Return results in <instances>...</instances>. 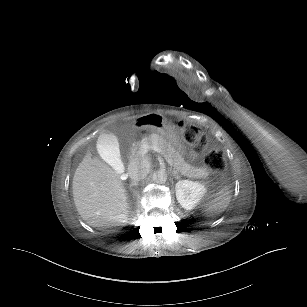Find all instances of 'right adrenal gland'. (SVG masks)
<instances>
[{
    "label": "right adrenal gland",
    "instance_id": "obj_1",
    "mask_svg": "<svg viewBox=\"0 0 307 307\" xmlns=\"http://www.w3.org/2000/svg\"><path fill=\"white\" fill-rule=\"evenodd\" d=\"M136 185V182H132L131 184H130V189L133 187V186H135Z\"/></svg>",
    "mask_w": 307,
    "mask_h": 307
}]
</instances>
